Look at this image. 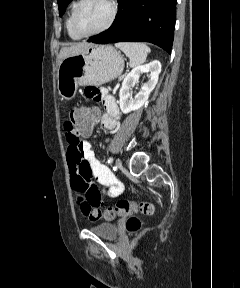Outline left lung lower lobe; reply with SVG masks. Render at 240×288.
Returning a JSON list of instances; mask_svg holds the SVG:
<instances>
[{
  "instance_id": "1",
  "label": "left lung lower lobe",
  "mask_w": 240,
  "mask_h": 288,
  "mask_svg": "<svg viewBox=\"0 0 240 288\" xmlns=\"http://www.w3.org/2000/svg\"><path fill=\"white\" fill-rule=\"evenodd\" d=\"M117 1L118 13L111 27L88 42H150L171 53L177 0Z\"/></svg>"
}]
</instances>
